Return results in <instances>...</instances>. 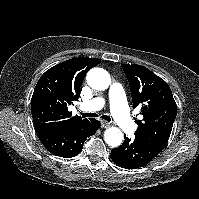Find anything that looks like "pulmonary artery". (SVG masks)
Wrapping results in <instances>:
<instances>
[{
	"mask_svg": "<svg viewBox=\"0 0 199 199\" xmlns=\"http://www.w3.org/2000/svg\"><path fill=\"white\" fill-rule=\"evenodd\" d=\"M110 110L117 124L126 132H131L136 125L131 118L126 105L123 87L120 83L113 82L109 86ZM104 105L103 98H93L80 105L82 111H97Z\"/></svg>",
	"mask_w": 199,
	"mask_h": 199,
	"instance_id": "1",
	"label": "pulmonary artery"
}]
</instances>
